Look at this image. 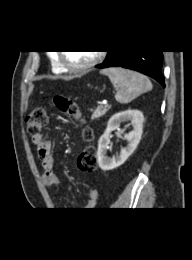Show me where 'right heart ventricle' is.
I'll return each mask as SVG.
<instances>
[{
  "instance_id": "1",
  "label": "right heart ventricle",
  "mask_w": 192,
  "mask_h": 260,
  "mask_svg": "<svg viewBox=\"0 0 192 260\" xmlns=\"http://www.w3.org/2000/svg\"><path fill=\"white\" fill-rule=\"evenodd\" d=\"M51 68L54 73H64L66 71L65 68L59 62L58 56L53 54L50 56Z\"/></svg>"
}]
</instances>
